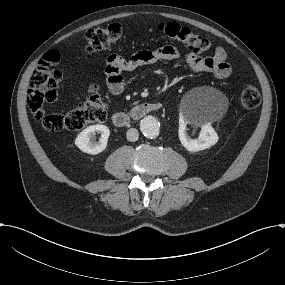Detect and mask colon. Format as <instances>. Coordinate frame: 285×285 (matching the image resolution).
Listing matches in <instances>:
<instances>
[{
    "label": "colon",
    "instance_id": "obj_1",
    "mask_svg": "<svg viewBox=\"0 0 285 285\" xmlns=\"http://www.w3.org/2000/svg\"><path fill=\"white\" fill-rule=\"evenodd\" d=\"M158 31L171 41L184 43L195 53H204L210 42L187 26L177 22L161 23ZM122 37L119 24L90 29L85 34L86 51L95 52L113 47ZM61 55L57 50L47 52L34 71L29 84L27 103L35 119L49 131L80 130L91 123L102 122L107 116V104L98 93L96 85L89 87L90 95L82 103L67 112H47L45 106L57 98V86L63 71L58 67ZM241 105L247 110L257 108L261 102L259 90L245 87L240 95Z\"/></svg>",
    "mask_w": 285,
    "mask_h": 285
}]
</instances>
